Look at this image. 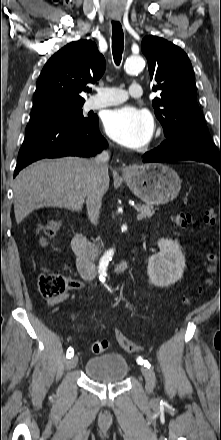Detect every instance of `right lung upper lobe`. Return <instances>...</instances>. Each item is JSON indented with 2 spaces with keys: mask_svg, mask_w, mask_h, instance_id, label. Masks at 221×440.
I'll use <instances>...</instances> for the list:
<instances>
[{
  "mask_svg": "<svg viewBox=\"0 0 221 440\" xmlns=\"http://www.w3.org/2000/svg\"><path fill=\"white\" fill-rule=\"evenodd\" d=\"M106 62L91 40L71 42L45 64L37 81L32 111L55 105H83L80 95L101 78Z\"/></svg>",
  "mask_w": 221,
  "mask_h": 440,
  "instance_id": "right-lung-upper-lobe-1",
  "label": "right lung upper lobe"
}]
</instances>
